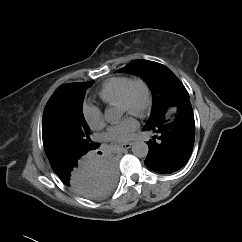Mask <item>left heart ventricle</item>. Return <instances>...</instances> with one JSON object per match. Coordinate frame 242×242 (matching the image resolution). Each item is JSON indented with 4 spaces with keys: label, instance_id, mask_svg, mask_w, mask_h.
<instances>
[{
    "label": "left heart ventricle",
    "instance_id": "b2bd125f",
    "mask_svg": "<svg viewBox=\"0 0 242 242\" xmlns=\"http://www.w3.org/2000/svg\"><path fill=\"white\" fill-rule=\"evenodd\" d=\"M144 101V91L141 87H136L132 93V106H140ZM120 110L122 113L128 112L127 107L120 105Z\"/></svg>",
    "mask_w": 242,
    "mask_h": 242
}]
</instances>
